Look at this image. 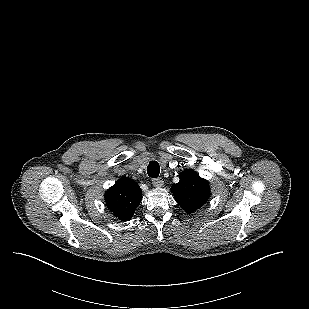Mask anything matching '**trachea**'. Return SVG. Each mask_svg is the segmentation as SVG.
I'll return each instance as SVG.
<instances>
[{
  "label": "trachea",
  "mask_w": 309,
  "mask_h": 309,
  "mask_svg": "<svg viewBox=\"0 0 309 309\" xmlns=\"http://www.w3.org/2000/svg\"><path fill=\"white\" fill-rule=\"evenodd\" d=\"M160 173V166L157 161H151L147 167L149 177L157 178Z\"/></svg>",
  "instance_id": "3493384b"
}]
</instances>
